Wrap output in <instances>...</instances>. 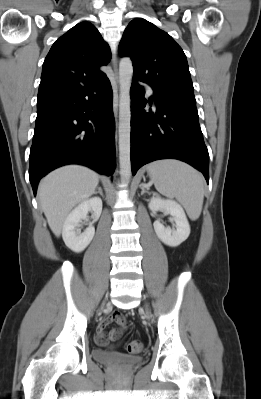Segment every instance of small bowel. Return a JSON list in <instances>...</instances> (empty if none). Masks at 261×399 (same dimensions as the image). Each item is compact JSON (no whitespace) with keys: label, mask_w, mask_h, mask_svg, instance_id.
Segmentation results:
<instances>
[{"label":"small bowel","mask_w":261,"mask_h":399,"mask_svg":"<svg viewBox=\"0 0 261 399\" xmlns=\"http://www.w3.org/2000/svg\"><path fill=\"white\" fill-rule=\"evenodd\" d=\"M113 322L118 323L120 328L106 331L107 327ZM126 325L127 323L123 315L119 312H113L98 325L95 336L97 344L100 346H108L110 342L117 341L126 328Z\"/></svg>","instance_id":"c3829d8e"}]
</instances>
